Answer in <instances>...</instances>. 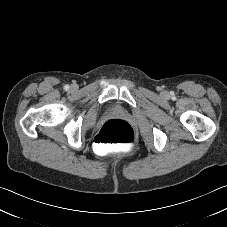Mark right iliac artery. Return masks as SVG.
Here are the masks:
<instances>
[{
	"label": "right iliac artery",
	"mask_w": 227,
	"mask_h": 227,
	"mask_svg": "<svg viewBox=\"0 0 227 227\" xmlns=\"http://www.w3.org/2000/svg\"><path fill=\"white\" fill-rule=\"evenodd\" d=\"M64 89H65V90H68V89H69V85H65V86H64Z\"/></svg>",
	"instance_id": "82829eb1"
}]
</instances>
